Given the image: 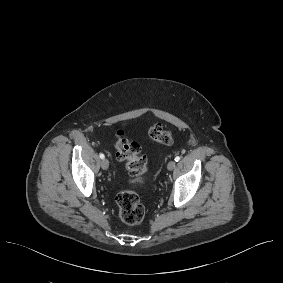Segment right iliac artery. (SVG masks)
<instances>
[{"mask_svg": "<svg viewBox=\"0 0 283 283\" xmlns=\"http://www.w3.org/2000/svg\"><path fill=\"white\" fill-rule=\"evenodd\" d=\"M100 158H101V159H104V158H105V156H104L103 153H100Z\"/></svg>", "mask_w": 283, "mask_h": 283, "instance_id": "1", "label": "right iliac artery"}]
</instances>
